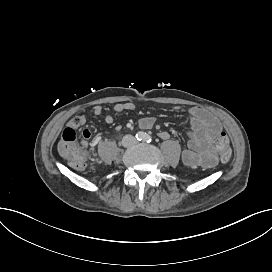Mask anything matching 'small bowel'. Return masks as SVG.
I'll return each instance as SVG.
<instances>
[{
  "label": "small bowel",
  "mask_w": 272,
  "mask_h": 272,
  "mask_svg": "<svg viewBox=\"0 0 272 272\" xmlns=\"http://www.w3.org/2000/svg\"><path fill=\"white\" fill-rule=\"evenodd\" d=\"M135 109V105L132 102L116 103L113 107L114 112L122 113L125 111H132ZM94 116H101L103 108L100 105H95L92 108ZM190 117V127L186 132L187 135V146L182 151V160L187 166H199L205 163L204 155L209 147L211 138L214 135L220 133L222 127L221 123L216 116H214L208 110L201 107H192L188 111ZM87 117L85 115H78L71 119L67 125L73 126L77 129L80 126L85 125ZM106 124H112L114 117L112 115H106L104 117ZM155 123L153 117H145L139 121V125L143 129L151 128ZM66 125V126H67ZM121 127L117 126L116 130H120ZM81 135L84 139L83 145H87V140L91 137V130L84 128L81 131ZM159 137L163 140L169 138L167 131L159 132Z\"/></svg>",
  "instance_id": "small-bowel-1"
}]
</instances>
